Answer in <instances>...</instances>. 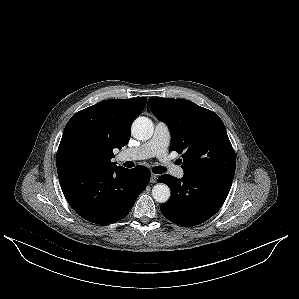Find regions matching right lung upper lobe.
Masks as SVG:
<instances>
[{
  "label": "right lung upper lobe",
  "instance_id": "obj_1",
  "mask_svg": "<svg viewBox=\"0 0 299 299\" xmlns=\"http://www.w3.org/2000/svg\"><path fill=\"white\" fill-rule=\"evenodd\" d=\"M147 98L104 100L68 121L56 155L57 171L116 167L113 150L130 139V126Z\"/></svg>",
  "mask_w": 299,
  "mask_h": 299
}]
</instances>
